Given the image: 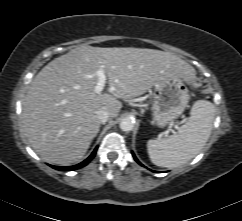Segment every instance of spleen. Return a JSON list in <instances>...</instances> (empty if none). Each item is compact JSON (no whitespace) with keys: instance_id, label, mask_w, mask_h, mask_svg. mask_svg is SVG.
Masks as SVG:
<instances>
[{"instance_id":"1","label":"spleen","mask_w":242,"mask_h":221,"mask_svg":"<svg viewBox=\"0 0 242 221\" xmlns=\"http://www.w3.org/2000/svg\"><path fill=\"white\" fill-rule=\"evenodd\" d=\"M215 106L207 100L196 101L190 117L173 135L147 142L149 158L160 167H178L194 158L208 141L214 121Z\"/></svg>"}]
</instances>
